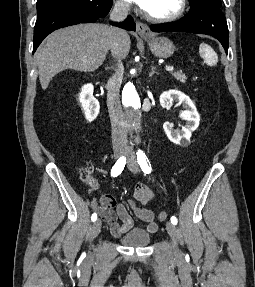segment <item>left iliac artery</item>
Segmentation results:
<instances>
[{"label":"left iliac artery","mask_w":255,"mask_h":287,"mask_svg":"<svg viewBox=\"0 0 255 287\" xmlns=\"http://www.w3.org/2000/svg\"><path fill=\"white\" fill-rule=\"evenodd\" d=\"M137 161H138V164L140 165V167L144 173H147V174L151 173L150 162L142 150L137 151ZM171 222L174 225H176L177 224V218L175 216H172Z\"/></svg>","instance_id":"left-iliac-artery-1"}]
</instances>
